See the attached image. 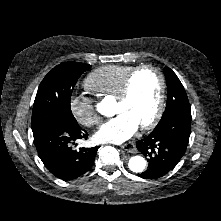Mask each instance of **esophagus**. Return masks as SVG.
Instances as JSON below:
<instances>
[{
	"mask_svg": "<svg viewBox=\"0 0 221 221\" xmlns=\"http://www.w3.org/2000/svg\"><path fill=\"white\" fill-rule=\"evenodd\" d=\"M122 149L129 152V153H135L136 152V146L134 143H127V144H124L122 146Z\"/></svg>",
	"mask_w": 221,
	"mask_h": 221,
	"instance_id": "1",
	"label": "esophagus"
}]
</instances>
